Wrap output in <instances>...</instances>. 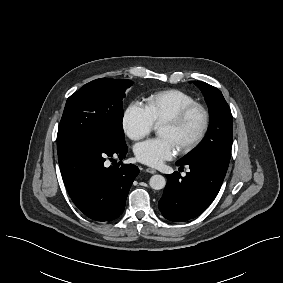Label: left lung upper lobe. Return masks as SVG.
<instances>
[{
	"label": "left lung upper lobe",
	"instance_id": "obj_1",
	"mask_svg": "<svg viewBox=\"0 0 283 283\" xmlns=\"http://www.w3.org/2000/svg\"><path fill=\"white\" fill-rule=\"evenodd\" d=\"M202 91L209 108L210 125L202 143L181 163L207 162L228 169L233 140L232 114L220 90L204 82L194 81Z\"/></svg>",
	"mask_w": 283,
	"mask_h": 283
}]
</instances>
